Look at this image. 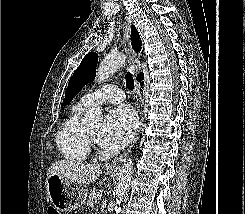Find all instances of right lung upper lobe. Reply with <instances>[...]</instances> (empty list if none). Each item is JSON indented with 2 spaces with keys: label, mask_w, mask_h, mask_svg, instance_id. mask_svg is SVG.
Returning a JSON list of instances; mask_svg holds the SVG:
<instances>
[{
  "label": "right lung upper lobe",
  "mask_w": 245,
  "mask_h": 214,
  "mask_svg": "<svg viewBox=\"0 0 245 214\" xmlns=\"http://www.w3.org/2000/svg\"><path fill=\"white\" fill-rule=\"evenodd\" d=\"M131 40L132 48L138 53L141 49V41L139 39V34L134 26L131 27Z\"/></svg>",
  "instance_id": "1"
}]
</instances>
